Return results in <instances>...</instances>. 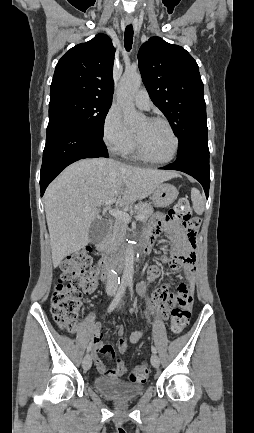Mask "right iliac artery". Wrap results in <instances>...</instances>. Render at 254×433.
Instances as JSON below:
<instances>
[{"label":"right iliac artery","instance_id":"obj_1","mask_svg":"<svg viewBox=\"0 0 254 433\" xmlns=\"http://www.w3.org/2000/svg\"><path fill=\"white\" fill-rule=\"evenodd\" d=\"M126 286H127V284L125 282H121L119 289H118V292H117L115 298L113 299V301L111 302V304L108 308V313L112 312L116 308V306L119 304L122 296L125 293ZM90 351H91V344H89V346L87 347V353H89Z\"/></svg>","mask_w":254,"mask_h":433}]
</instances>
